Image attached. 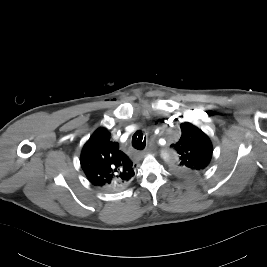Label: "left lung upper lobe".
Masks as SVG:
<instances>
[{
  "mask_svg": "<svg viewBox=\"0 0 267 267\" xmlns=\"http://www.w3.org/2000/svg\"><path fill=\"white\" fill-rule=\"evenodd\" d=\"M180 127L181 138L176 144H172L180 158L177 171L184 176L202 174L209 166L212 144L208 136L191 123H182Z\"/></svg>",
  "mask_w": 267,
  "mask_h": 267,
  "instance_id": "obj_1",
  "label": "left lung upper lobe"
}]
</instances>
